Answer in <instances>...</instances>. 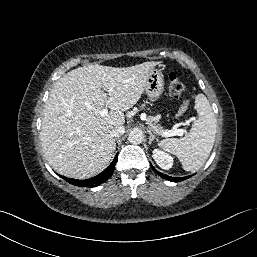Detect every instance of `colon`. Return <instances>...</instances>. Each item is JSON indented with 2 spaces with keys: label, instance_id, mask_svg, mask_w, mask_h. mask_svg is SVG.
Returning a JSON list of instances; mask_svg holds the SVG:
<instances>
[{
  "label": "colon",
  "instance_id": "1",
  "mask_svg": "<svg viewBox=\"0 0 257 257\" xmlns=\"http://www.w3.org/2000/svg\"><path fill=\"white\" fill-rule=\"evenodd\" d=\"M168 92L172 98H180L186 92L185 84L180 80L176 72H170L168 75ZM188 109V101H184L178 111L179 117L183 116Z\"/></svg>",
  "mask_w": 257,
  "mask_h": 257
}]
</instances>
